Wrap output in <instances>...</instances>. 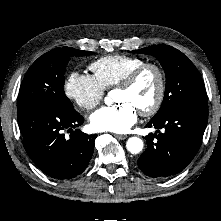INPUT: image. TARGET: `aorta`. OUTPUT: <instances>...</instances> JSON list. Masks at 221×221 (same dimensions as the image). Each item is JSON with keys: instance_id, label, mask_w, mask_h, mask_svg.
I'll return each instance as SVG.
<instances>
[{"instance_id": "obj_1", "label": "aorta", "mask_w": 221, "mask_h": 221, "mask_svg": "<svg viewBox=\"0 0 221 221\" xmlns=\"http://www.w3.org/2000/svg\"><path fill=\"white\" fill-rule=\"evenodd\" d=\"M108 98L105 99L107 102ZM126 148L132 154H138L143 149V141L138 137H131L127 140Z\"/></svg>"}]
</instances>
